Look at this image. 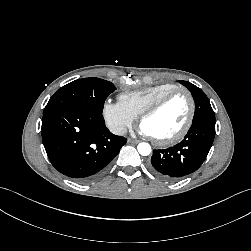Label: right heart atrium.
I'll use <instances>...</instances> for the list:
<instances>
[{
	"label": "right heart atrium",
	"instance_id": "1",
	"mask_svg": "<svg viewBox=\"0 0 251 251\" xmlns=\"http://www.w3.org/2000/svg\"><path fill=\"white\" fill-rule=\"evenodd\" d=\"M102 116L109 129L117 134L123 135L132 127L135 118L120 104L107 100L102 106Z\"/></svg>",
	"mask_w": 251,
	"mask_h": 251
}]
</instances>
